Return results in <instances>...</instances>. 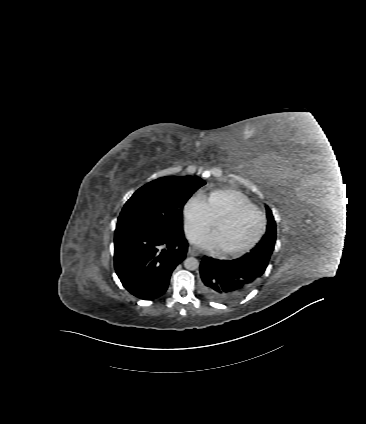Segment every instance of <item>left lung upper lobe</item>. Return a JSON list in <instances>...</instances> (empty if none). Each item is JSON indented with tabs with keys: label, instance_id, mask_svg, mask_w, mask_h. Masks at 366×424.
Instances as JSON below:
<instances>
[{
	"label": "left lung upper lobe",
	"instance_id": "obj_1",
	"mask_svg": "<svg viewBox=\"0 0 366 424\" xmlns=\"http://www.w3.org/2000/svg\"><path fill=\"white\" fill-rule=\"evenodd\" d=\"M266 215L268 222L265 235L262 237L257 246L254 247L250 253H246L245 255L259 259L262 263L268 265L276 241V223L274 221L272 211L268 206H266Z\"/></svg>",
	"mask_w": 366,
	"mask_h": 424
}]
</instances>
